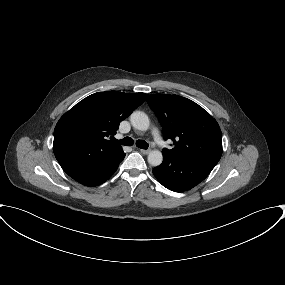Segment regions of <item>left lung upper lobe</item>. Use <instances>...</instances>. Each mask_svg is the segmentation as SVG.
I'll return each mask as SVG.
<instances>
[{"label":"left lung upper lobe","instance_id":"1","mask_svg":"<svg viewBox=\"0 0 285 285\" xmlns=\"http://www.w3.org/2000/svg\"><path fill=\"white\" fill-rule=\"evenodd\" d=\"M165 139L174 148L162 154L195 162L213 169L222 155V134L216 120L195 102L178 96L152 94L147 96Z\"/></svg>","mask_w":285,"mask_h":285}]
</instances>
